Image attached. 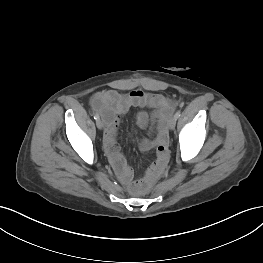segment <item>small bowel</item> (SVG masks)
Masks as SVG:
<instances>
[{"label":"small bowel","mask_w":263,"mask_h":263,"mask_svg":"<svg viewBox=\"0 0 263 263\" xmlns=\"http://www.w3.org/2000/svg\"><path fill=\"white\" fill-rule=\"evenodd\" d=\"M91 105L104 120V148L116 174L125 185H131L133 172L121 153L116 137L120 117L132 107L151 110V112L143 110L137 114V124L141 128H148L151 124L155 125L154 136L140 142V147L144 151L152 148L157 150L156 160L151 165L148 175L155 176L164 167L168 159L167 120L174 109L172 101L160 94L138 89L130 92L110 89L94 94Z\"/></svg>","instance_id":"1"}]
</instances>
